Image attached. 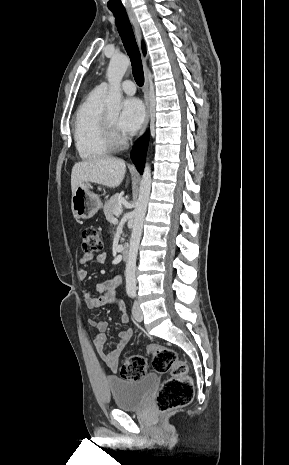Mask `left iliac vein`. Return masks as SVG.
Masks as SVG:
<instances>
[{
  "label": "left iliac vein",
  "mask_w": 289,
  "mask_h": 465,
  "mask_svg": "<svg viewBox=\"0 0 289 465\" xmlns=\"http://www.w3.org/2000/svg\"><path fill=\"white\" fill-rule=\"evenodd\" d=\"M132 314L136 321L141 322L143 320V313L137 301L133 304Z\"/></svg>",
  "instance_id": "left-iliac-vein-1"
}]
</instances>
